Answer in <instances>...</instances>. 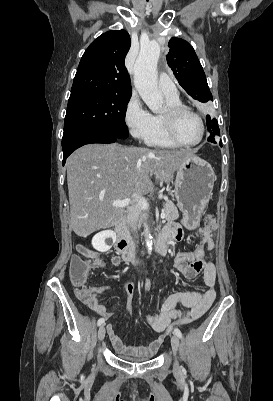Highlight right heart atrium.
<instances>
[{
  "mask_svg": "<svg viewBox=\"0 0 273 401\" xmlns=\"http://www.w3.org/2000/svg\"><path fill=\"white\" fill-rule=\"evenodd\" d=\"M153 115L138 96L133 95L125 110V123L130 134L139 141L145 140L150 133Z\"/></svg>",
  "mask_w": 273,
  "mask_h": 401,
  "instance_id": "obj_1",
  "label": "right heart atrium"
}]
</instances>
